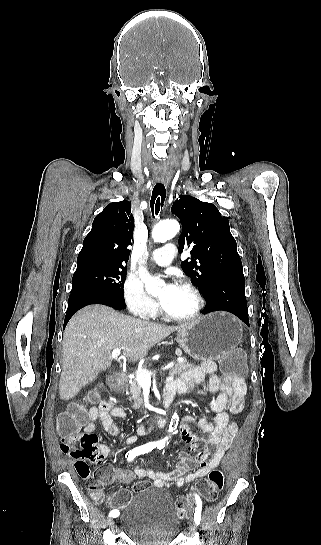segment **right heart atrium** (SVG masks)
<instances>
[{
  "mask_svg": "<svg viewBox=\"0 0 321 545\" xmlns=\"http://www.w3.org/2000/svg\"><path fill=\"white\" fill-rule=\"evenodd\" d=\"M122 297L128 311L142 319H154L159 312L158 305L150 300L139 277L129 275L122 285Z\"/></svg>",
  "mask_w": 321,
  "mask_h": 545,
  "instance_id": "right-heart-atrium-1",
  "label": "right heart atrium"
}]
</instances>
